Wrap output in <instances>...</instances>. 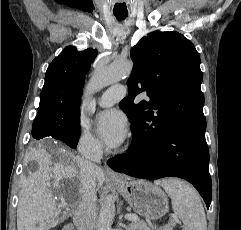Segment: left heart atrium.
I'll list each match as a JSON object with an SVG mask.
<instances>
[{
  "label": "left heart atrium",
  "mask_w": 241,
  "mask_h": 230,
  "mask_svg": "<svg viewBox=\"0 0 241 230\" xmlns=\"http://www.w3.org/2000/svg\"><path fill=\"white\" fill-rule=\"evenodd\" d=\"M97 133L110 148H116L124 141L127 134V120L118 110L102 112L97 120Z\"/></svg>",
  "instance_id": "39dd6f15"
}]
</instances>
